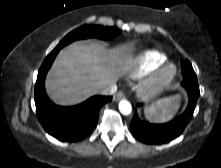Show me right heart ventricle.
<instances>
[{
  "instance_id": "1",
  "label": "right heart ventricle",
  "mask_w": 221,
  "mask_h": 168,
  "mask_svg": "<svg viewBox=\"0 0 221 168\" xmlns=\"http://www.w3.org/2000/svg\"><path fill=\"white\" fill-rule=\"evenodd\" d=\"M167 61V56L157 50H148L140 54L136 59V72L134 77H143L156 69Z\"/></svg>"
}]
</instances>
